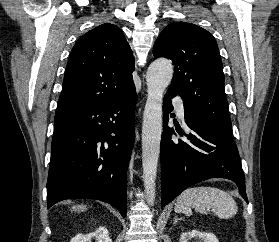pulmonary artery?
<instances>
[{"label":"pulmonary artery","mask_w":279,"mask_h":242,"mask_svg":"<svg viewBox=\"0 0 279 242\" xmlns=\"http://www.w3.org/2000/svg\"><path fill=\"white\" fill-rule=\"evenodd\" d=\"M173 103L175 106V111H176L177 116L180 119H184L185 110H184V103H183L182 99L180 97H174Z\"/></svg>","instance_id":"1"}]
</instances>
